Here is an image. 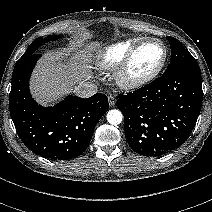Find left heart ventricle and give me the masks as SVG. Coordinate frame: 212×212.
I'll return each mask as SVG.
<instances>
[{
    "mask_svg": "<svg viewBox=\"0 0 212 212\" xmlns=\"http://www.w3.org/2000/svg\"><path fill=\"white\" fill-rule=\"evenodd\" d=\"M163 56V49L157 43H150L143 46L136 54L132 66L131 74L139 76L154 69Z\"/></svg>",
    "mask_w": 212,
    "mask_h": 212,
    "instance_id": "b2bd125f",
    "label": "left heart ventricle"
}]
</instances>
